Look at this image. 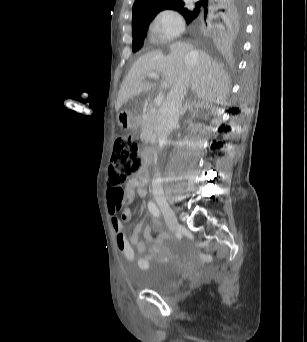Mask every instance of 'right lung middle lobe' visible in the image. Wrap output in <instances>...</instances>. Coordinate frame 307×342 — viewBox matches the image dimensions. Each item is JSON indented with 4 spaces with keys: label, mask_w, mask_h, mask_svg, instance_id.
Wrapping results in <instances>:
<instances>
[{
    "label": "right lung middle lobe",
    "mask_w": 307,
    "mask_h": 342,
    "mask_svg": "<svg viewBox=\"0 0 307 342\" xmlns=\"http://www.w3.org/2000/svg\"><path fill=\"white\" fill-rule=\"evenodd\" d=\"M144 38H145V32L139 33L133 36V42H132L133 52L138 51L142 47L144 43Z\"/></svg>",
    "instance_id": "dd1d6c3e"
}]
</instances>
